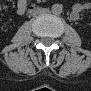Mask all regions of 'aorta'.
Returning <instances> with one entry per match:
<instances>
[{"label": "aorta", "instance_id": "aorta-1", "mask_svg": "<svg viewBox=\"0 0 91 91\" xmlns=\"http://www.w3.org/2000/svg\"><path fill=\"white\" fill-rule=\"evenodd\" d=\"M51 10L54 15H60L63 11V7L60 4H54Z\"/></svg>", "mask_w": 91, "mask_h": 91}]
</instances>
